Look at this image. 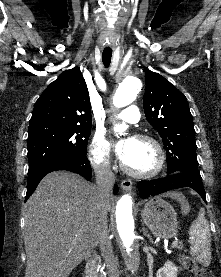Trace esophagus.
Segmentation results:
<instances>
[{"label":"esophagus","instance_id":"esophagus-1","mask_svg":"<svg viewBox=\"0 0 221 277\" xmlns=\"http://www.w3.org/2000/svg\"><path fill=\"white\" fill-rule=\"evenodd\" d=\"M132 187V181L130 179L123 180L121 182V188L123 191H130Z\"/></svg>","mask_w":221,"mask_h":277}]
</instances>
